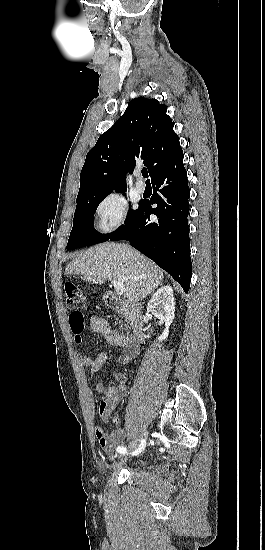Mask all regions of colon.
Returning a JSON list of instances; mask_svg holds the SVG:
<instances>
[{
  "mask_svg": "<svg viewBox=\"0 0 265 550\" xmlns=\"http://www.w3.org/2000/svg\"><path fill=\"white\" fill-rule=\"evenodd\" d=\"M64 293L66 305L71 310L69 315L70 326L76 338H79V334L85 327V318L82 310L86 306V296L81 288L72 282H66L64 284ZM118 378L122 379L121 376H118ZM123 393V389L119 386L109 387L101 402L102 409L109 412L111 408L120 401Z\"/></svg>",
  "mask_w": 265,
  "mask_h": 550,
  "instance_id": "1",
  "label": "colon"
}]
</instances>
